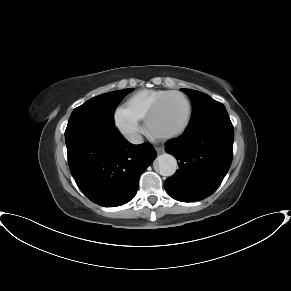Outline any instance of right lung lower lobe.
<instances>
[{
	"label": "right lung lower lobe",
	"instance_id": "1",
	"mask_svg": "<svg viewBox=\"0 0 291 291\" xmlns=\"http://www.w3.org/2000/svg\"><path fill=\"white\" fill-rule=\"evenodd\" d=\"M65 141L77 186L103 207L129 202L137 193L140 175L156 158L151 145H133L114 124L99 121L68 122Z\"/></svg>",
	"mask_w": 291,
	"mask_h": 291
}]
</instances>
